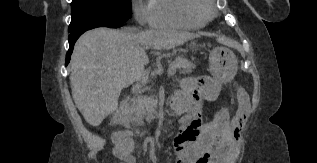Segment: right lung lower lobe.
<instances>
[{
	"instance_id": "1",
	"label": "right lung lower lobe",
	"mask_w": 317,
	"mask_h": 163,
	"mask_svg": "<svg viewBox=\"0 0 317 163\" xmlns=\"http://www.w3.org/2000/svg\"><path fill=\"white\" fill-rule=\"evenodd\" d=\"M121 26H122V24H100V25H98V26H96V27L118 28V27H121ZM96 27H94V28H96ZM83 33H84V32L79 33V34H77V35H75V36L69 38V50H68L67 55H66V63H65L66 66L68 65V63H69V61H70V56H71V54H72L73 47H74V44H75L76 40H77V39L79 38V36H80L81 34H83Z\"/></svg>"
}]
</instances>
